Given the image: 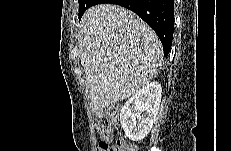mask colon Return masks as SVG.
Returning a JSON list of instances; mask_svg holds the SVG:
<instances>
[{
  "label": "colon",
  "mask_w": 231,
  "mask_h": 151,
  "mask_svg": "<svg viewBox=\"0 0 231 151\" xmlns=\"http://www.w3.org/2000/svg\"><path fill=\"white\" fill-rule=\"evenodd\" d=\"M117 117L118 112L115 108L105 109L97 113V129L102 139L98 151H135V147L124 139L110 144Z\"/></svg>",
  "instance_id": "5ec220e1"
}]
</instances>
